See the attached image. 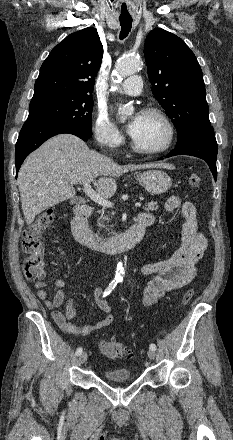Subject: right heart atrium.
Instances as JSON below:
<instances>
[{
  "instance_id": "d8ad5b80",
  "label": "right heart atrium",
  "mask_w": 233,
  "mask_h": 440,
  "mask_svg": "<svg viewBox=\"0 0 233 440\" xmlns=\"http://www.w3.org/2000/svg\"><path fill=\"white\" fill-rule=\"evenodd\" d=\"M96 141L103 147L115 150L123 143V135L104 111H98L93 121Z\"/></svg>"
}]
</instances>
